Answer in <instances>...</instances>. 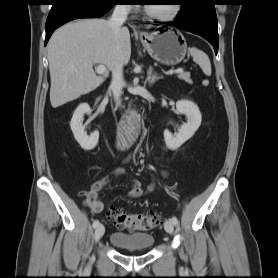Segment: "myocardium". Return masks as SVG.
Segmentation results:
<instances>
[{
	"label": "myocardium",
	"mask_w": 278,
	"mask_h": 278,
	"mask_svg": "<svg viewBox=\"0 0 278 278\" xmlns=\"http://www.w3.org/2000/svg\"><path fill=\"white\" fill-rule=\"evenodd\" d=\"M181 12V5L179 3L173 4V9L168 14H158L153 12L149 6H145V13L146 15L154 20L161 21V22H169L177 18V16Z\"/></svg>",
	"instance_id": "obj_1"
}]
</instances>
